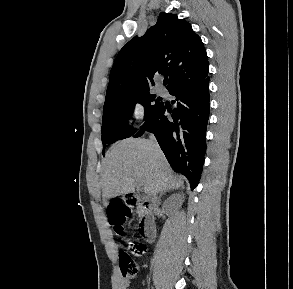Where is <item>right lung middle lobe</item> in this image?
<instances>
[{
	"mask_svg": "<svg viewBox=\"0 0 293 289\" xmlns=\"http://www.w3.org/2000/svg\"><path fill=\"white\" fill-rule=\"evenodd\" d=\"M155 100L156 95L147 92L119 97L106 102L104 104L102 123L103 149L107 144L129 138L136 132L127 122L136 103H140L144 106V119L146 120V118L161 105V102H155Z\"/></svg>",
	"mask_w": 293,
	"mask_h": 289,
	"instance_id": "obj_1",
	"label": "right lung middle lobe"
}]
</instances>
